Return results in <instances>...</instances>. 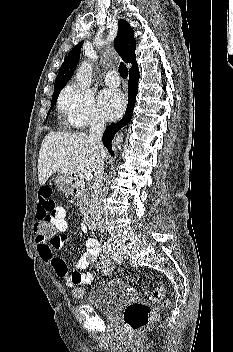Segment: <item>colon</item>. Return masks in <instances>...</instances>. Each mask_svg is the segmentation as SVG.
I'll return each mask as SVG.
<instances>
[{"label": "colon", "instance_id": "colon-1", "mask_svg": "<svg viewBox=\"0 0 233 352\" xmlns=\"http://www.w3.org/2000/svg\"><path fill=\"white\" fill-rule=\"evenodd\" d=\"M37 238L42 241H57L59 234L55 231L49 220H37L34 225ZM88 266H91L105 274H110L114 266L107 257L99 254L88 257ZM72 281L75 284L73 295L76 299H83L86 291L81 283L80 275H73ZM147 301H136L126 306L122 313V320L125 328L130 332H137L148 326L157 316L159 307L167 308L169 301L164 300L165 286L158 285L146 291Z\"/></svg>", "mask_w": 233, "mask_h": 352}]
</instances>
